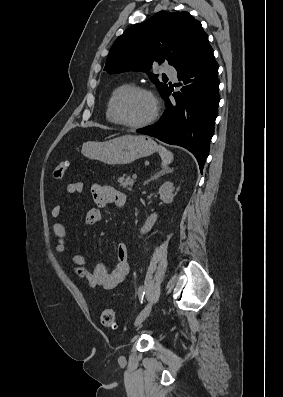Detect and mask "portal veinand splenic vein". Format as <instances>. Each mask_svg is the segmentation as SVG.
<instances>
[{
    "label": "portal vein and splenic vein",
    "instance_id": "portal-vein-and-splenic-vein-1",
    "mask_svg": "<svg viewBox=\"0 0 283 397\" xmlns=\"http://www.w3.org/2000/svg\"><path fill=\"white\" fill-rule=\"evenodd\" d=\"M132 177H133V179H136V178H137V174L134 173V174L132 175Z\"/></svg>",
    "mask_w": 283,
    "mask_h": 397
}]
</instances>
